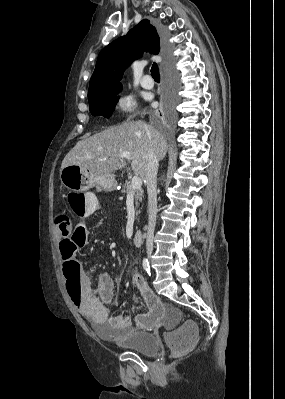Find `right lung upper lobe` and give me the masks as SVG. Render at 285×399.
Returning a JSON list of instances; mask_svg holds the SVG:
<instances>
[{"label":"right lung upper lobe","mask_w":285,"mask_h":399,"mask_svg":"<svg viewBox=\"0 0 285 399\" xmlns=\"http://www.w3.org/2000/svg\"><path fill=\"white\" fill-rule=\"evenodd\" d=\"M145 50L153 54L160 51L159 34L147 19L142 20L126 36L119 37L101 50L90 79L88 100L120 91V79L125 68L131 61L141 57Z\"/></svg>","instance_id":"obj_1"}]
</instances>
